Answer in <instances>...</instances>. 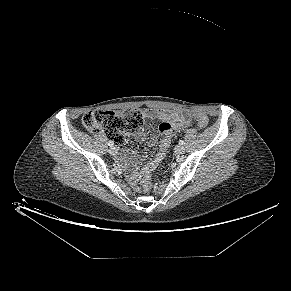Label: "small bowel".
Returning <instances> with one entry per match:
<instances>
[{
	"label": "small bowel",
	"instance_id": "obj_1",
	"mask_svg": "<svg viewBox=\"0 0 291 291\" xmlns=\"http://www.w3.org/2000/svg\"><path fill=\"white\" fill-rule=\"evenodd\" d=\"M148 117L157 119L160 121L159 131L162 135L158 151L156 152L154 158L145 167V168L151 167L152 169H155L156 166L164 158L165 152L171 144L172 132L174 130L185 127L188 124V120L180 112L168 111V110L149 111ZM136 139L138 141H143L145 139V134L143 130H140L136 133ZM157 143H158V139L156 137H153L150 140L151 146H156ZM134 176L137 177L138 173L136 172Z\"/></svg>",
	"mask_w": 291,
	"mask_h": 291
}]
</instances>
